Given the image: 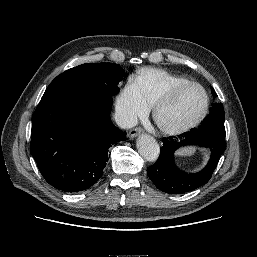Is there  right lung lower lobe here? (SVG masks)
Segmentation results:
<instances>
[{"instance_id":"obj_1","label":"right lung lower lobe","mask_w":257,"mask_h":257,"mask_svg":"<svg viewBox=\"0 0 257 257\" xmlns=\"http://www.w3.org/2000/svg\"><path fill=\"white\" fill-rule=\"evenodd\" d=\"M112 97L65 94L41 100L32 117L30 152L45 180L65 192L102 176L109 148L126 139L110 120Z\"/></svg>"}]
</instances>
